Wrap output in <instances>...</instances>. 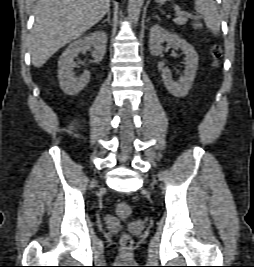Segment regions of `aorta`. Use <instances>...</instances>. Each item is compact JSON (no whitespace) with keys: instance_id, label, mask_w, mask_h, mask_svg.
I'll return each instance as SVG.
<instances>
[{"instance_id":"aorta-1","label":"aorta","mask_w":254,"mask_h":267,"mask_svg":"<svg viewBox=\"0 0 254 267\" xmlns=\"http://www.w3.org/2000/svg\"><path fill=\"white\" fill-rule=\"evenodd\" d=\"M144 0H128V15L132 23L137 24Z\"/></svg>"}]
</instances>
